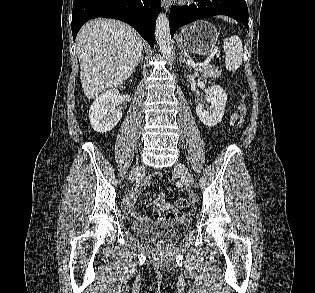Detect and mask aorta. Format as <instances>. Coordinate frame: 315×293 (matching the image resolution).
<instances>
[{
  "label": "aorta",
  "instance_id": "aorta-1",
  "mask_svg": "<svg viewBox=\"0 0 315 293\" xmlns=\"http://www.w3.org/2000/svg\"><path fill=\"white\" fill-rule=\"evenodd\" d=\"M155 36L160 52L165 56H169L172 50L171 35L169 21L164 13H160L157 17Z\"/></svg>",
  "mask_w": 315,
  "mask_h": 293
}]
</instances>
